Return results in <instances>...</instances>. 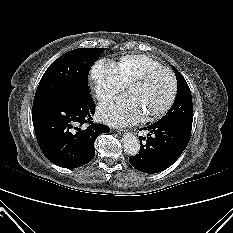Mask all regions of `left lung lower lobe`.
I'll use <instances>...</instances> for the list:
<instances>
[{
  "label": "left lung lower lobe",
  "mask_w": 233,
  "mask_h": 233,
  "mask_svg": "<svg viewBox=\"0 0 233 233\" xmlns=\"http://www.w3.org/2000/svg\"><path fill=\"white\" fill-rule=\"evenodd\" d=\"M143 130L150 132L147 137H143L146 144L141 143L139 153L129 160L135 169L149 174L170 167L185 150L191 134L190 131L165 120H159Z\"/></svg>",
  "instance_id": "obj_1"
}]
</instances>
